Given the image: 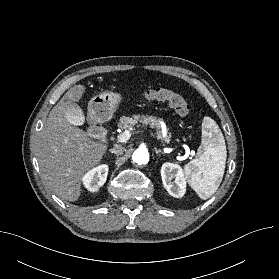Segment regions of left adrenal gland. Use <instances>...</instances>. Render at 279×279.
<instances>
[{
	"label": "left adrenal gland",
	"mask_w": 279,
	"mask_h": 279,
	"mask_svg": "<svg viewBox=\"0 0 279 279\" xmlns=\"http://www.w3.org/2000/svg\"><path fill=\"white\" fill-rule=\"evenodd\" d=\"M155 153H156V155H158L159 153H162V154H163V151L157 150V149L155 148Z\"/></svg>",
	"instance_id": "left-adrenal-gland-1"
}]
</instances>
